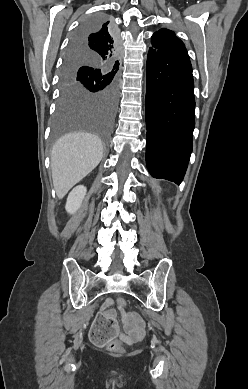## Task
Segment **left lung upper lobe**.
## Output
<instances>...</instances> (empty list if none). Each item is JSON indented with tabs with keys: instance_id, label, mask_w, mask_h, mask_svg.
<instances>
[{
	"instance_id": "left-lung-upper-lobe-1",
	"label": "left lung upper lobe",
	"mask_w": 248,
	"mask_h": 389,
	"mask_svg": "<svg viewBox=\"0 0 248 389\" xmlns=\"http://www.w3.org/2000/svg\"><path fill=\"white\" fill-rule=\"evenodd\" d=\"M153 48L165 50L173 48H185L184 43L178 39L174 32L167 29H160L152 36Z\"/></svg>"
}]
</instances>
